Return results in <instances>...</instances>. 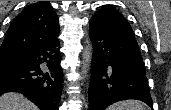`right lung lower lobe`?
Masks as SVG:
<instances>
[{
  "mask_svg": "<svg viewBox=\"0 0 171 110\" xmlns=\"http://www.w3.org/2000/svg\"><path fill=\"white\" fill-rule=\"evenodd\" d=\"M26 55L24 63L0 71V95L9 91L20 92L41 110H58L63 74L57 38Z\"/></svg>",
  "mask_w": 171,
  "mask_h": 110,
  "instance_id": "98d812e1",
  "label": "right lung lower lobe"
}]
</instances>
